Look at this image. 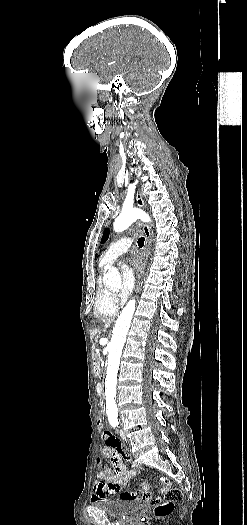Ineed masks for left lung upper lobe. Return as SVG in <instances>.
Segmentation results:
<instances>
[{"instance_id":"obj_1","label":"left lung upper lobe","mask_w":247,"mask_h":525,"mask_svg":"<svg viewBox=\"0 0 247 525\" xmlns=\"http://www.w3.org/2000/svg\"><path fill=\"white\" fill-rule=\"evenodd\" d=\"M108 236H109V233H108V229H106L103 233V237H102V240H101V243H104L107 239H108ZM97 256V255H96ZM95 256V257H96Z\"/></svg>"}]
</instances>
